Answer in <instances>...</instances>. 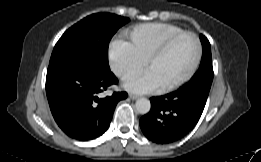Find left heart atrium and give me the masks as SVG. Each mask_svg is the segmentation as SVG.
I'll return each mask as SVG.
<instances>
[{
	"mask_svg": "<svg viewBox=\"0 0 261 162\" xmlns=\"http://www.w3.org/2000/svg\"><path fill=\"white\" fill-rule=\"evenodd\" d=\"M123 86L135 93H151L162 87L159 79L150 69L137 76L125 79Z\"/></svg>",
	"mask_w": 261,
	"mask_h": 162,
	"instance_id": "39dd6f15",
	"label": "left heart atrium"
}]
</instances>
